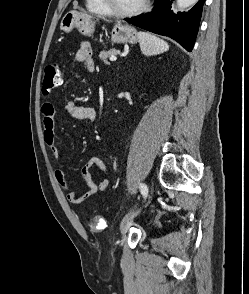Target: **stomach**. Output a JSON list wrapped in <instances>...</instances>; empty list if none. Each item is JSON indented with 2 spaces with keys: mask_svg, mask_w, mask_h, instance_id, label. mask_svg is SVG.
<instances>
[{
  "mask_svg": "<svg viewBox=\"0 0 249 294\" xmlns=\"http://www.w3.org/2000/svg\"><path fill=\"white\" fill-rule=\"evenodd\" d=\"M77 28L80 33L91 36L95 30V22L85 14L77 11H69L61 20L60 29L65 33H70ZM139 40L136 29L129 25L117 22L111 32L113 43H136Z\"/></svg>",
  "mask_w": 249,
  "mask_h": 294,
  "instance_id": "0dacf381",
  "label": "stomach"
}]
</instances>
